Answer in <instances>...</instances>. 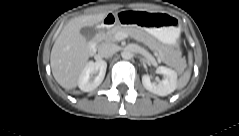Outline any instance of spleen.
<instances>
[{
  "label": "spleen",
  "mask_w": 239,
  "mask_h": 136,
  "mask_svg": "<svg viewBox=\"0 0 239 136\" xmlns=\"http://www.w3.org/2000/svg\"><path fill=\"white\" fill-rule=\"evenodd\" d=\"M191 64H192V60L191 58L189 59V68L180 76L179 81H178V88L181 89L184 86H186V84L188 83V81L190 80V76H191Z\"/></svg>",
  "instance_id": "1"
}]
</instances>
